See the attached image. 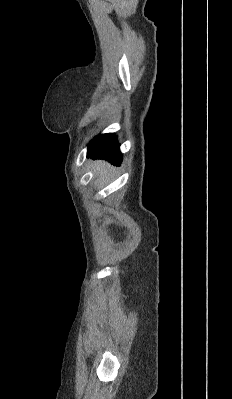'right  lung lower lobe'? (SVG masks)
<instances>
[{
  "mask_svg": "<svg viewBox=\"0 0 232 399\" xmlns=\"http://www.w3.org/2000/svg\"><path fill=\"white\" fill-rule=\"evenodd\" d=\"M120 144L115 134H102L95 137L88 145V157L108 160L113 164H120L122 154Z\"/></svg>",
  "mask_w": 232,
  "mask_h": 399,
  "instance_id": "right-lung-lower-lobe-1",
  "label": "right lung lower lobe"
}]
</instances>
